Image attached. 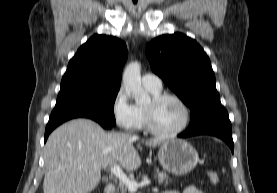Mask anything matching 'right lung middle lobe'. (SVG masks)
Segmentation results:
<instances>
[{"label":"right lung middle lobe","mask_w":277,"mask_h":193,"mask_svg":"<svg viewBox=\"0 0 277 193\" xmlns=\"http://www.w3.org/2000/svg\"><path fill=\"white\" fill-rule=\"evenodd\" d=\"M118 90L87 86L60 90L54 110L84 111L115 125L114 102Z\"/></svg>","instance_id":"dd1d6c3e"}]
</instances>
